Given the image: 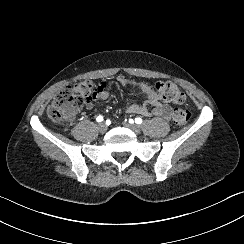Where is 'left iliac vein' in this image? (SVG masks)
<instances>
[{
  "label": "left iliac vein",
  "mask_w": 244,
  "mask_h": 244,
  "mask_svg": "<svg viewBox=\"0 0 244 244\" xmlns=\"http://www.w3.org/2000/svg\"><path fill=\"white\" fill-rule=\"evenodd\" d=\"M122 125H124L125 127L131 129L134 133L138 134L140 132V127L137 124H130L128 122L123 121Z\"/></svg>",
  "instance_id": "left-iliac-vein-1"
}]
</instances>
